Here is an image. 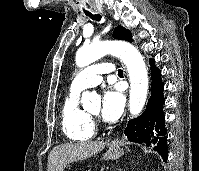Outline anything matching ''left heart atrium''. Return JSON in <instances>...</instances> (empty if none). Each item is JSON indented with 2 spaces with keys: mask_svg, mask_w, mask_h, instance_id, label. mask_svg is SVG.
Listing matches in <instances>:
<instances>
[{
  "mask_svg": "<svg viewBox=\"0 0 199 171\" xmlns=\"http://www.w3.org/2000/svg\"><path fill=\"white\" fill-rule=\"evenodd\" d=\"M125 97L119 86L109 87L102 98L101 116L110 123L116 122L122 115Z\"/></svg>",
  "mask_w": 199,
  "mask_h": 171,
  "instance_id": "left-heart-atrium-1",
  "label": "left heart atrium"
}]
</instances>
